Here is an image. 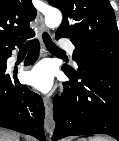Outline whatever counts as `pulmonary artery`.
Returning <instances> with one entry per match:
<instances>
[{
  "label": "pulmonary artery",
  "mask_w": 119,
  "mask_h": 141,
  "mask_svg": "<svg viewBox=\"0 0 119 141\" xmlns=\"http://www.w3.org/2000/svg\"><path fill=\"white\" fill-rule=\"evenodd\" d=\"M60 46L66 48L70 53H73V51H74V46H73L72 43H70V42L61 41V42H60ZM11 61H12V62H15V61H16V56H13V57L11 58Z\"/></svg>",
  "instance_id": "1"
}]
</instances>
